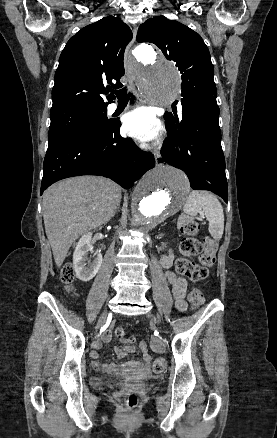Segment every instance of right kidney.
I'll list each match as a JSON object with an SVG mask.
<instances>
[{
  "label": "right kidney",
  "instance_id": "obj_1",
  "mask_svg": "<svg viewBox=\"0 0 277 438\" xmlns=\"http://www.w3.org/2000/svg\"><path fill=\"white\" fill-rule=\"evenodd\" d=\"M91 240V232L84 234V236L80 238L79 242H77L73 254L74 272L76 274V278L81 280V282H90V280H93L96 274H98L103 260L102 254H99V252H95V254H93L92 262L91 258H87L88 254L93 252Z\"/></svg>",
  "mask_w": 277,
  "mask_h": 438
}]
</instances>
